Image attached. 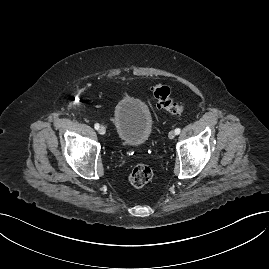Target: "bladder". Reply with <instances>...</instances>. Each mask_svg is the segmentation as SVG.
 Returning a JSON list of instances; mask_svg holds the SVG:
<instances>
[{
  "mask_svg": "<svg viewBox=\"0 0 269 269\" xmlns=\"http://www.w3.org/2000/svg\"><path fill=\"white\" fill-rule=\"evenodd\" d=\"M113 124L117 138L130 146L145 143L153 128L149 108L133 96H123L118 100L113 111Z\"/></svg>",
  "mask_w": 269,
  "mask_h": 269,
  "instance_id": "1",
  "label": "bladder"
}]
</instances>
